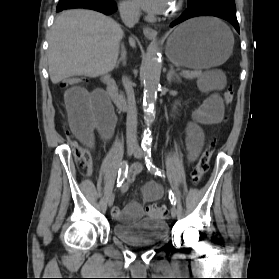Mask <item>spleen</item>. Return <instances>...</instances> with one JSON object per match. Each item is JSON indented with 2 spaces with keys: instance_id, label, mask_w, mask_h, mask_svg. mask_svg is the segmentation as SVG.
Segmentation results:
<instances>
[{
  "instance_id": "spleen-1",
  "label": "spleen",
  "mask_w": 279,
  "mask_h": 279,
  "mask_svg": "<svg viewBox=\"0 0 279 279\" xmlns=\"http://www.w3.org/2000/svg\"><path fill=\"white\" fill-rule=\"evenodd\" d=\"M223 24V23H222ZM225 30L232 35L230 29L224 25ZM225 86V78L218 71H207L201 76L198 81V87L200 89H223Z\"/></svg>"
}]
</instances>
